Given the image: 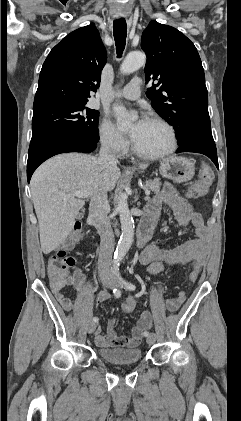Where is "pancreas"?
I'll use <instances>...</instances> for the list:
<instances>
[{
	"mask_svg": "<svg viewBox=\"0 0 241 421\" xmlns=\"http://www.w3.org/2000/svg\"><path fill=\"white\" fill-rule=\"evenodd\" d=\"M145 187L148 188L149 190H151L154 193H159L160 187H161L160 179L156 178L154 180L146 181Z\"/></svg>",
	"mask_w": 241,
	"mask_h": 421,
	"instance_id": "cf45deb5",
	"label": "pancreas"
}]
</instances>
